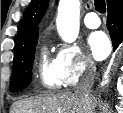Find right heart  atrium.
<instances>
[{
	"label": "right heart atrium",
	"mask_w": 123,
	"mask_h": 113,
	"mask_svg": "<svg viewBox=\"0 0 123 113\" xmlns=\"http://www.w3.org/2000/svg\"><path fill=\"white\" fill-rule=\"evenodd\" d=\"M55 64L62 85L67 87L77 84L82 75L94 69L93 61L76 45H61Z\"/></svg>",
	"instance_id": "1"
}]
</instances>
